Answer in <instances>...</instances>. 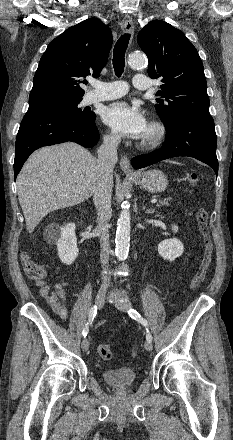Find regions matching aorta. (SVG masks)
<instances>
[{"label":"aorta","mask_w":233,"mask_h":440,"mask_svg":"<svg viewBox=\"0 0 233 440\" xmlns=\"http://www.w3.org/2000/svg\"><path fill=\"white\" fill-rule=\"evenodd\" d=\"M128 64L131 68H143L146 66V57L143 54H132L129 57ZM131 216L129 203H122V211L117 222V231L115 238V254L119 259H125L128 256L130 246Z\"/></svg>","instance_id":"762f6f07"}]
</instances>
